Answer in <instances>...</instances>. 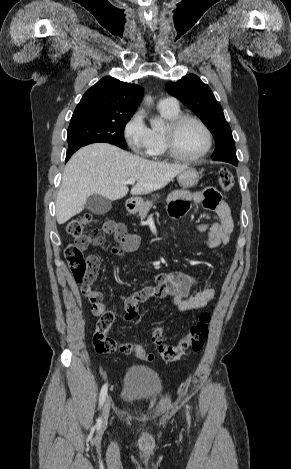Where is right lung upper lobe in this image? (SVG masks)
<instances>
[{"label":"right lung upper lobe","instance_id":"cb5924a9","mask_svg":"<svg viewBox=\"0 0 291 469\" xmlns=\"http://www.w3.org/2000/svg\"><path fill=\"white\" fill-rule=\"evenodd\" d=\"M143 97V89L110 76L86 91L73 114L132 116Z\"/></svg>","mask_w":291,"mask_h":469}]
</instances>
